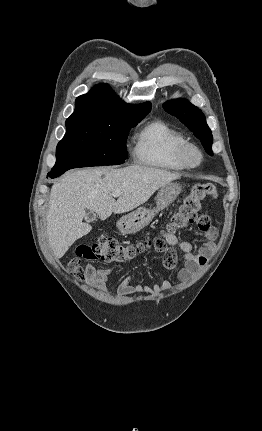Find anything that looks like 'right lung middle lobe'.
I'll list each match as a JSON object with an SVG mask.
<instances>
[{
	"instance_id": "dd1d6c3e",
	"label": "right lung middle lobe",
	"mask_w": 262,
	"mask_h": 431,
	"mask_svg": "<svg viewBox=\"0 0 262 431\" xmlns=\"http://www.w3.org/2000/svg\"><path fill=\"white\" fill-rule=\"evenodd\" d=\"M145 116L66 124V134L57 145L56 163L51 171L123 164L127 158L126 136Z\"/></svg>"
}]
</instances>
